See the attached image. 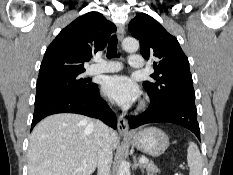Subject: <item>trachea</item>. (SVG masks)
<instances>
[{
	"label": "trachea",
	"instance_id": "3493384b",
	"mask_svg": "<svg viewBox=\"0 0 233 175\" xmlns=\"http://www.w3.org/2000/svg\"><path fill=\"white\" fill-rule=\"evenodd\" d=\"M117 36L112 35L109 43H108V49H107V58H112L117 56Z\"/></svg>",
	"mask_w": 233,
	"mask_h": 175
}]
</instances>
